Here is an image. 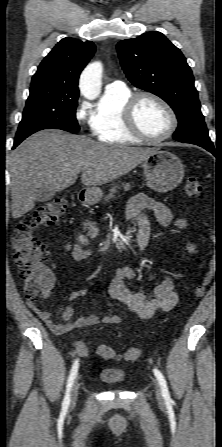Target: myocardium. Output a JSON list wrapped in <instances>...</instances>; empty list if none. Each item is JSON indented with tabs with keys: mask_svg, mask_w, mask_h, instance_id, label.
<instances>
[{
	"mask_svg": "<svg viewBox=\"0 0 222 447\" xmlns=\"http://www.w3.org/2000/svg\"><path fill=\"white\" fill-rule=\"evenodd\" d=\"M144 98L151 99V100L155 101L156 103H158L160 106H162L165 109V111L169 115L170 127H169L168 131L161 137L155 138V137L148 136L146 133H144L140 129V127L137 124L136 110H137L138 104ZM122 120H123L124 127L133 136H135L145 142H148V143H161L163 141H166L175 133L177 126H178V120H177L176 113L173 110V108L170 106V104L165 99H163L161 96H159L153 92H149V91L137 92V93L131 95L127 99V101L125 102V104L123 106V110H122Z\"/></svg>",
	"mask_w": 222,
	"mask_h": 447,
	"instance_id": "f54148a6",
	"label": "myocardium"
}]
</instances>
